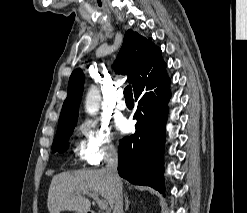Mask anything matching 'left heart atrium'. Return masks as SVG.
Instances as JSON below:
<instances>
[{"label": "left heart atrium", "instance_id": "obj_1", "mask_svg": "<svg viewBox=\"0 0 247 213\" xmlns=\"http://www.w3.org/2000/svg\"><path fill=\"white\" fill-rule=\"evenodd\" d=\"M116 127L121 133H126L130 130V123L125 118H120L116 121Z\"/></svg>", "mask_w": 247, "mask_h": 213}]
</instances>
